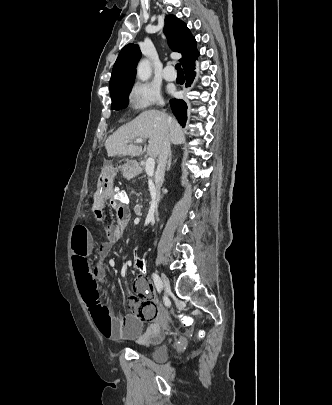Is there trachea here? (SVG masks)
Wrapping results in <instances>:
<instances>
[{
  "label": "trachea",
  "instance_id": "obj_1",
  "mask_svg": "<svg viewBox=\"0 0 332 405\" xmlns=\"http://www.w3.org/2000/svg\"><path fill=\"white\" fill-rule=\"evenodd\" d=\"M175 69L177 70V72H178L179 74L183 73V70H182V68H181V64H180V63H177V64L175 65Z\"/></svg>",
  "mask_w": 332,
  "mask_h": 405
}]
</instances>
